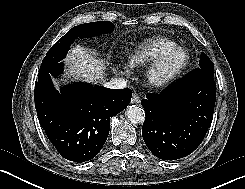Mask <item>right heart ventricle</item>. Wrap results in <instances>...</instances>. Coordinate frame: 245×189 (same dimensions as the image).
I'll use <instances>...</instances> for the list:
<instances>
[{"mask_svg":"<svg viewBox=\"0 0 245 189\" xmlns=\"http://www.w3.org/2000/svg\"><path fill=\"white\" fill-rule=\"evenodd\" d=\"M176 42L166 37H153L138 43L129 57L132 67L155 61L168 48L176 46Z\"/></svg>","mask_w":245,"mask_h":189,"instance_id":"right-heart-ventricle-1","label":"right heart ventricle"}]
</instances>
